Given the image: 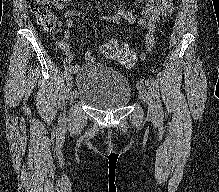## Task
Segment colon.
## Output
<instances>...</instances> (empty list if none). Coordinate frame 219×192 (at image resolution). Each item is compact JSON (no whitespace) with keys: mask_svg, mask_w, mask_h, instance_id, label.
I'll return each instance as SVG.
<instances>
[{"mask_svg":"<svg viewBox=\"0 0 219 192\" xmlns=\"http://www.w3.org/2000/svg\"><path fill=\"white\" fill-rule=\"evenodd\" d=\"M30 10L42 28L51 32L56 27V18L50 6V0H32ZM99 51L106 58L115 59L125 67H132L137 62V54L127 46H119L115 40L100 45Z\"/></svg>","mask_w":219,"mask_h":192,"instance_id":"1","label":"colon"}]
</instances>
